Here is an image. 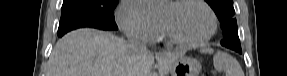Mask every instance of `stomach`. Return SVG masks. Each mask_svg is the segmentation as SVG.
Here are the masks:
<instances>
[{
    "instance_id": "1",
    "label": "stomach",
    "mask_w": 287,
    "mask_h": 76,
    "mask_svg": "<svg viewBox=\"0 0 287 76\" xmlns=\"http://www.w3.org/2000/svg\"><path fill=\"white\" fill-rule=\"evenodd\" d=\"M201 64L191 57H181L170 69L171 76H198Z\"/></svg>"
}]
</instances>
